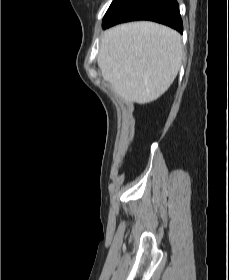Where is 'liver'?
<instances>
[{
    "label": "liver",
    "mask_w": 229,
    "mask_h": 280,
    "mask_svg": "<svg viewBox=\"0 0 229 280\" xmlns=\"http://www.w3.org/2000/svg\"><path fill=\"white\" fill-rule=\"evenodd\" d=\"M181 60L178 32L141 21L106 30L97 63L103 79L126 103L146 104L168 90L178 74Z\"/></svg>",
    "instance_id": "1"
}]
</instances>
